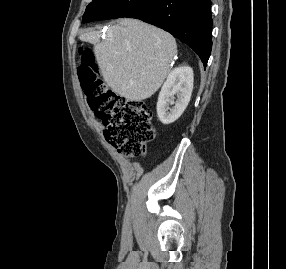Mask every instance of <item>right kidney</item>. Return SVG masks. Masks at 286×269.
<instances>
[{
    "instance_id": "right-kidney-1",
    "label": "right kidney",
    "mask_w": 286,
    "mask_h": 269,
    "mask_svg": "<svg viewBox=\"0 0 286 269\" xmlns=\"http://www.w3.org/2000/svg\"><path fill=\"white\" fill-rule=\"evenodd\" d=\"M192 90L191 67H178L170 72L161 88L157 102V115L163 124H171L181 116L190 101ZM175 95H177L176 101H174ZM169 104L175 105L170 108Z\"/></svg>"
}]
</instances>
